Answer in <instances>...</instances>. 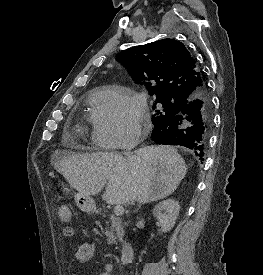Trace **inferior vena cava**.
<instances>
[{"mask_svg": "<svg viewBox=\"0 0 263 275\" xmlns=\"http://www.w3.org/2000/svg\"><path fill=\"white\" fill-rule=\"evenodd\" d=\"M125 155L128 159H130L131 156H130L129 152H126Z\"/></svg>", "mask_w": 263, "mask_h": 275, "instance_id": "602c4592", "label": "inferior vena cava"}]
</instances>
